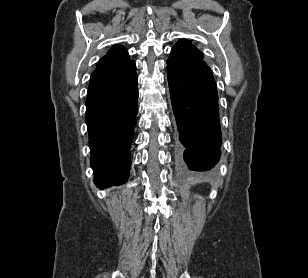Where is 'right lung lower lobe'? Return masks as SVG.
I'll return each mask as SVG.
<instances>
[{
    "instance_id": "1",
    "label": "right lung lower lobe",
    "mask_w": 308,
    "mask_h": 278,
    "mask_svg": "<svg viewBox=\"0 0 308 278\" xmlns=\"http://www.w3.org/2000/svg\"><path fill=\"white\" fill-rule=\"evenodd\" d=\"M136 72L116 87L88 90L86 123L94 183L105 188L125 183L138 110Z\"/></svg>"
}]
</instances>
